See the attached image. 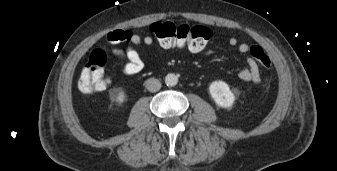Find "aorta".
<instances>
[{
    "instance_id": "1",
    "label": "aorta",
    "mask_w": 337,
    "mask_h": 171,
    "mask_svg": "<svg viewBox=\"0 0 337 171\" xmlns=\"http://www.w3.org/2000/svg\"><path fill=\"white\" fill-rule=\"evenodd\" d=\"M165 83L167 86H175L178 83L177 75L169 73L165 77Z\"/></svg>"
}]
</instances>
